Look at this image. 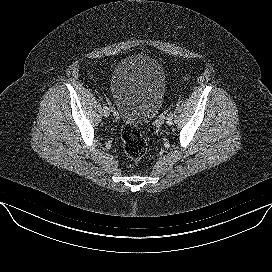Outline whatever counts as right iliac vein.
I'll return each mask as SVG.
<instances>
[{"label": "right iliac vein", "mask_w": 272, "mask_h": 272, "mask_svg": "<svg viewBox=\"0 0 272 272\" xmlns=\"http://www.w3.org/2000/svg\"><path fill=\"white\" fill-rule=\"evenodd\" d=\"M103 114H104V116L107 118V117H109V115H110V110H109V108H104L103 109Z\"/></svg>", "instance_id": "1"}]
</instances>
